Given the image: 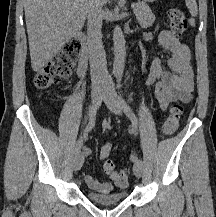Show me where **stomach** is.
Wrapping results in <instances>:
<instances>
[{
  "mask_svg": "<svg viewBox=\"0 0 216 217\" xmlns=\"http://www.w3.org/2000/svg\"><path fill=\"white\" fill-rule=\"evenodd\" d=\"M156 0H144V2H154Z\"/></svg>",
  "mask_w": 216,
  "mask_h": 217,
  "instance_id": "stomach-1",
  "label": "stomach"
}]
</instances>
